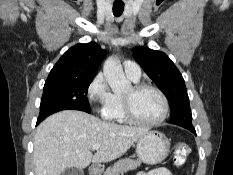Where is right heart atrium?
Segmentation results:
<instances>
[{
    "label": "right heart atrium",
    "mask_w": 233,
    "mask_h": 175,
    "mask_svg": "<svg viewBox=\"0 0 233 175\" xmlns=\"http://www.w3.org/2000/svg\"><path fill=\"white\" fill-rule=\"evenodd\" d=\"M112 96L113 93L103 74H97L87 87V97L89 101L95 106L103 109L110 103Z\"/></svg>",
    "instance_id": "right-heart-atrium-1"
}]
</instances>
